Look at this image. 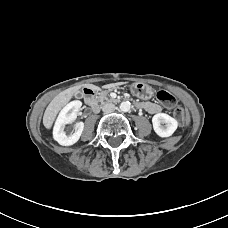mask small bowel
<instances>
[{
  "instance_id": "1",
  "label": "small bowel",
  "mask_w": 228,
  "mask_h": 228,
  "mask_svg": "<svg viewBox=\"0 0 228 228\" xmlns=\"http://www.w3.org/2000/svg\"><path fill=\"white\" fill-rule=\"evenodd\" d=\"M136 106L140 109H144L145 111H147L150 114H156L159 113L162 108L159 104L155 103V102H139L136 104Z\"/></svg>"
}]
</instances>
